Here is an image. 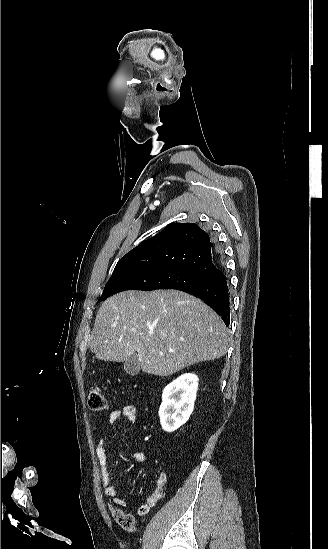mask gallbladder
Returning a JSON list of instances; mask_svg holds the SVG:
<instances>
[{
	"mask_svg": "<svg viewBox=\"0 0 328 549\" xmlns=\"http://www.w3.org/2000/svg\"><path fill=\"white\" fill-rule=\"evenodd\" d=\"M123 367L127 375H132V377H134V375H138L140 371V365L138 363V357L136 353H134V355H131V357H129V359L125 361Z\"/></svg>",
	"mask_w": 328,
	"mask_h": 549,
	"instance_id": "1",
	"label": "gallbladder"
}]
</instances>
